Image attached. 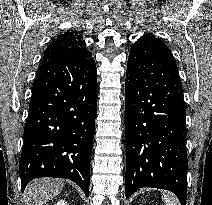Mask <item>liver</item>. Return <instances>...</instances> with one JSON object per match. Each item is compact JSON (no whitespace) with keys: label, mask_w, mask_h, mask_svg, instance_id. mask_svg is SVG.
I'll return each mask as SVG.
<instances>
[{"label":"liver","mask_w":212,"mask_h":205,"mask_svg":"<svg viewBox=\"0 0 212 205\" xmlns=\"http://www.w3.org/2000/svg\"><path fill=\"white\" fill-rule=\"evenodd\" d=\"M64 187L61 179L42 178L30 183L25 192L26 205H44L57 196Z\"/></svg>","instance_id":"obj_1"}]
</instances>
